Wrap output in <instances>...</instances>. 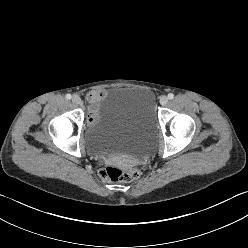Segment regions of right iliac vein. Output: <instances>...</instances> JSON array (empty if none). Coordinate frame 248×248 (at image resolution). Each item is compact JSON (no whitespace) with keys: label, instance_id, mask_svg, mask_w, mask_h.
<instances>
[{"label":"right iliac vein","instance_id":"obj_1","mask_svg":"<svg viewBox=\"0 0 248 248\" xmlns=\"http://www.w3.org/2000/svg\"><path fill=\"white\" fill-rule=\"evenodd\" d=\"M72 102L74 103V104H80L81 103V98L78 96V95H74L73 97H72Z\"/></svg>","mask_w":248,"mask_h":248}]
</instances>
